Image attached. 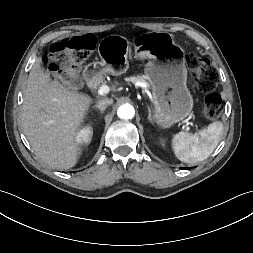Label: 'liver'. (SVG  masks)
Returning <instances> with one entry per match:
<instances>
[{
  "label": "liver",
  "instance_id": "obj_1",
  "mask_svg": "<svg viewBox=\"0 0 253 253\" xmlns=\"http://www.w3.org/2000/svg\"><path fill=\"white\" fill-rule=\"evenodd\" d=\"M93 100L53 81L36 62L27 80L21 124L37 157L57 170L74 167L81 155L77 139Z\"/></svg>",
  "mask_w": 253,
  "mask_h": 253
}]
</instances>
